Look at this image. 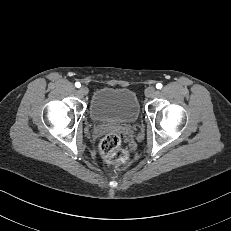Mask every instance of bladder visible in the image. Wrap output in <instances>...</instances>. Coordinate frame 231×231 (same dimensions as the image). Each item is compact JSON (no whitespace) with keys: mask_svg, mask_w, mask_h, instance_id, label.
<instances>
[{"mask_svg":"<svg viewBox=\"0 0 231 231\" xmlns=\"http://www.w3.org/2000/svg\"><path fill=\"white\" fill-rule=\"evenodd\" d=\"M139 113L137 96L128 88H100L94 92L89 107L91 119L98 124H133Z\"/></svg>","mask_w":231,"mask_h":231,"instance_id":"1","label":"bladder"}]
</instances>
